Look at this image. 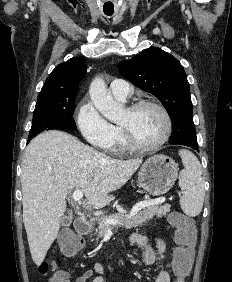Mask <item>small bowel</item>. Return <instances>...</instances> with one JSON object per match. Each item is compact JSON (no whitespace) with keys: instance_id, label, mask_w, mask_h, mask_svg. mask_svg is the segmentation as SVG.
<instances>
[{"instance_id":"obj_1","label":"small bowel","mask_w":232,"mask_h":282,"mask_svg":"<svg viewBox=\"0 0 232 282\" xmlns=\"http://www.w3.org/2000/svg\"><path fill=\"white\" fill-rule=\"evenodd\" d=\"M130 242L142 249L143 262L146 266L153 265L157 260L162 263L163 267L154 282H171L170 274L164 267L166 260V244L162 239H155L156 249L151 246L148 237L140 233L131 234ZM105 269L106 266L104 263L97 262L94 264L92 269L84 271L73 281L68 279V275L65 271L57 270V277H60L59 281L56 277H53L52 274L49 282H106V278L104 276Z\"/></svg>"}]
</instances>
